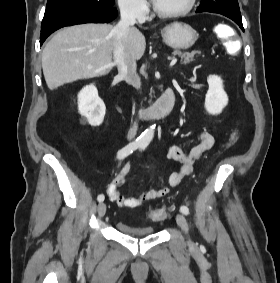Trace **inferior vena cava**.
I'll use <instances>...</instances> for the list:
<instances>
[{
	"label": "inferior vena cava",
	"instance_id": "obj_1",
	"mask_svg": "<svg viewBox=\"0 0 280 283\" xmlns=\"http://www.w3.org/2000/svg\"><path fill=\"white\" fill-rule=\"evenodd\" d=\"M120 21L114 27V63L117 65L119 75L136 89L141 87V79L136 72V61L127 48L128 34L136 23L137 9L133 3L126 2L120 6ZM138 124L134 122L128 131V139L135 137Z\"/></svg>",
	"mask_w": 280,
	"mask_h": 283
}]
</instances>
